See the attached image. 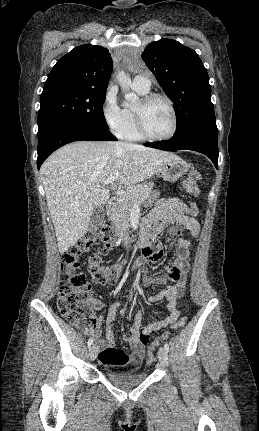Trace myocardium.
Masks as SVG:
<instances>
[{"label": "myocardium", "instance_id": "f54148a6", "mask_svg": "<svg viewBox=\"0 0 259 431\" xmlns=\"http://www.w3.org/2000/svg\"><path fill=\"white\" fill-rule=\"evenodd\" d=\"M161 99L165 101L171 111L172 115V128L170 132L164 136H153L151 135L146 127L144 110L154 100ZM135 124L139 134L146 140L149 141H165L171 139L177 132L178 129V116L173 101L165 94L162 93H148L144 95L140 100V106L134 109Z\"/></svg>", "mask_w": 259, "mask_h": 431}]
</instances>
